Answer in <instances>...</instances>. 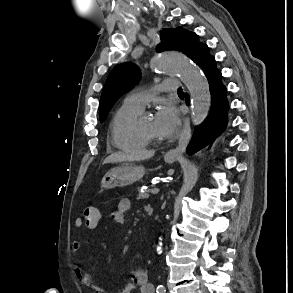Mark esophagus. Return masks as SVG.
Here are the masks:
<instances>
[{
  "label": "esophagus",
  "mask_w": 293,
  "mask_h": 293,
  "mask_svg": "<svg viewBox=\"0 0 293 293\" xmlns=\"http://www.w3.org/2000/svg\"><path fill=\"white\" fill-rule=\"evenodd\" d=\"M188 133H189V120L188 118H186L183 134L180 137L179 144L175 149H172L167 153L169 156H179L186 150V147H187L186 137Z\"/></svg>",
  "instance_id": "esophagus-1"
}]
</instances>
